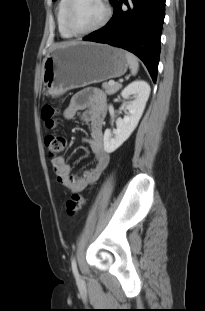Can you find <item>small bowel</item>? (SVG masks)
Here are the masks:
<instances>
[{"mask_svg":"<svg viewBox=\"0 0 205 311\" xmlns=\"http://www.w3.org/2000/svg\"><path fill=\"white\" fill-rule=\"evenodd\" d=\"M81 113L80 120L89 125L90 136L84 141L95 156L94 166L76 175L64 156L51 159L52 168L59 183L72 192H80L98 180L107 167L110 155L103 143V130L107 115L105 94L96 88H87L75 94L63 111L66 120Z\"/></svg>","mask_w":205,"mask_h":311,"instance_id":"1","label":"small bowel"}]
</instances>
